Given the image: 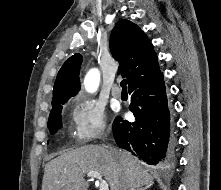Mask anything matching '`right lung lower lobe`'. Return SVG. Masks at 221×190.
Here are the masks:
<instances>
[{
  "mask_svg": "<svg viewBox=\"0 0 221 190\" xmlns=\"http://www.w3.org/2000/svg\"><path fill=\"white\" fill-rule=\"evenodd\" d=\"M129 94V108L136 121L131 123L119 116L114 120L116 143L149 165L168 163L173 158L174 137L163 73L132 86Z\"/></svg>",
  "mask_w": 221,
  "mask_h": 190,
  "instance_id": "right-lung-lower-lobe-1",
  "label": "right lung lower lobe"
}]
</instances>
